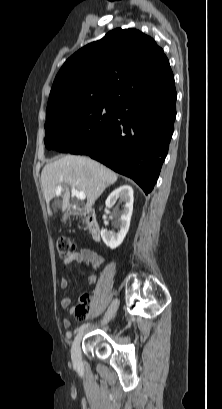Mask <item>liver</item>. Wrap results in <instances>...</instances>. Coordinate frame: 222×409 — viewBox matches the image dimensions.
<instances>
[{"label":"liver","mask_w":222,"mask_h":409,"mask_svg":"<svg viewBox=\"0 0 222 409\" xmlns=\"http://www.w3.org/2000/svg\"><path fill=\"white\" fill-rule=\"evenodd\" d=\"M118 175L104 165L88 157L67 155L46 164L41 173V183L46 203L60 196L62 192V211L69 206V186L83 191L90 210L103 191L114 184ZM61 185V192L57 187ZM52 215V211L49 210Z\"/></svg>","instance_id":"obj_1"}]
</instances>
